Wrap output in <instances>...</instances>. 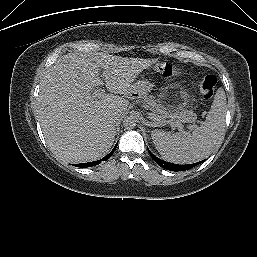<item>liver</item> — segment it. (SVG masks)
<instances>
[{
    "label": "liver",
    "mask_w": 257,
    "mask_h": 257,
    "mask_svg": "<svg viewBox=\"0 0 257 257\" xmlns=\"http://www.w3.org/2000/svg\"><path fill=\"white\" fill-rule=\"evenodd\" d=\"M156 61L98 52L60 57L41 80L38 98L40 125L53 154L73 163L107 154L116 135L112 114L124 113L129 106L124 97L136 93V77ZM104 82L111 94L91 97Z\"/></svg>",
    "instance_id": "6515ba94"
}]
</instances>
